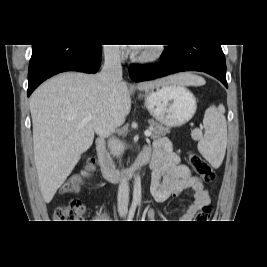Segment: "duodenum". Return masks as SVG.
Instances as JSON below:
<instances>
[{
	"instance_id": "410a0bca",
	"label": "duodenum",
	"mask_w": 267,
	"mask_h": 267,
	"mask_svg": "<svg viewBox=\"0 0 267 267\" xmlns=\"http://www.w3.org/2000/svg\"><path fill=\"white\" fill-rule=\"evenodd\" d=\"M105 144V139L103 137H99L96 140L95 146L97 162L101 174L103 178L108 181L117 182L123 179L132 178L135 172L145 166L149 161L147 157L140 156L129 168L118 170L110 164L106 155Z\"/></svg>"
}]
</instances>
